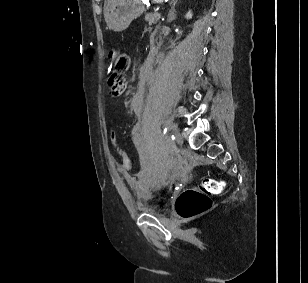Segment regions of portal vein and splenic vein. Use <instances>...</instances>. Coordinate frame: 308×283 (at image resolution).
<instances>
[{
	"label": "portal vein and splenic vein",
	"instance_id": "18ae733b",
	"mask_svg": "<svg viewBox=\"0 0 308 283\" xmlns=\"http://www.w3.org/2000/svg\"><path fill=\"white\" fill-rule=\"evenodd\" d=\"M155 15L160 18V13L159 12H156Z\"/></svg>",
	"mask_w": 308,
	"mask_h": 283
}]
</instances>
